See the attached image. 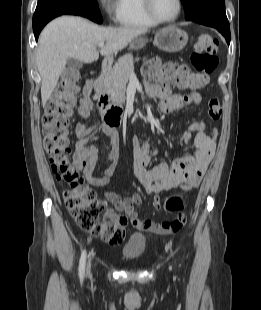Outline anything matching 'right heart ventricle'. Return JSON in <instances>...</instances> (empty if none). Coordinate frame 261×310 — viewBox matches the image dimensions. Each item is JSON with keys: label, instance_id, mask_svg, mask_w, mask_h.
<instances>
[{"label": "right heart ventricle", "instance_id": "1", "mask_svg": "<svg viewBox=\"0 0 261 310\" xmlns=\"http://www.w3.org/2000/svg\"><path fill=\"white\" fill-rule=\"evenodd\" d=\"M114 20L122 27L130 29H150L157 23L148 17L143 0H115Z\"/></svg>", "mask_w": 261, "mask_h": 310}]
</instances>
